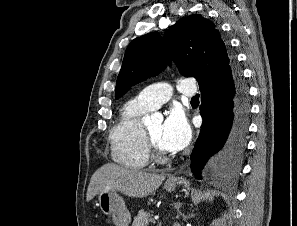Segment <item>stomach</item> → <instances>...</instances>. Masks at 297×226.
Returning a JSON list of instances; mask_svg holds the SVG:
<instances>
[{
    "label": "stomach",
    "mask_w": 297,
    "mask_h": 226,
    "mask_svg": "<svg viewBox=\"0 0 297 226\" xmlns=\"http://www.w3.org/2000/svg\"><path fill=\"white\" fill-rule=\"evenodd\" d=\"M164 188L172 192L176 188V183L167 181ZM98 206L104 214L112 216L116 226H129L131 214L126 208L124 199L115 190L99 193Z\"/></svg>",
    "instance_id": "obj_1"
}]
</instances>
